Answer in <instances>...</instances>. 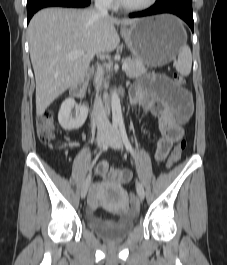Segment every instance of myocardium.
<instances>
[{
    "mask_svg": "<svg viewBox=\"0 0 227 265\" xmlns=\"http://www.w3.org/2000/svg\"><path fill=\"white\" fill-rule=\"evenodd\" d=\"M157 0H148L147 2L141 4V5H127L126 3H124L122 0H117L118 5L129 12H140V11H144L149 9L150 7H152Z\"/></svg>",
    "mask_w": 227,
    "mask_h": 265,
    "instance_id": "f54148a6",
    "label": "myocardium"
}]
</instances>
